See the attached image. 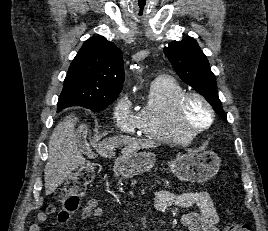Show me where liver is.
I'll return each mask as SVG.
<instances>
[{"instance_id": "6515ba94", "label": "liver", "mask_w": 268, "mask_h": 231, "mask_svg": "<svg viewBox=\"0 0 268 231\" xmlns=\"http://www.w3.org/2000/svg\"><path fill=\"white\" fill-rule=\"evenodd\" d=\"M77 117L67 116L55 127L49 140V157L44 170L45 193L50 195L68 178L72 171L85 165V158L79 150V143L87 134L86 126L75 130ZM123 145V154H132L140 149L152 148L156 143L129 136H113L94 143L96 151L103 157H112L114 149Z\"/></svg>"}]
</instances>
